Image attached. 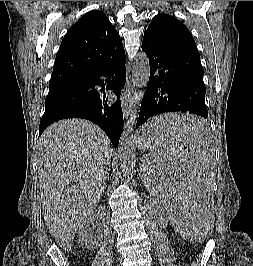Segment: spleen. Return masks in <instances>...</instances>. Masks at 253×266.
I'll list each match as a JSON object with an SVG mask.
<instances>
[{
	"label": "spleen",
	"mask_w": 253,
	"mask_h": 266,
	"mask_svg": "<svg viewBox=\"0 0 253 266\" xmlns=\"http://www.w3.org/2000/svg\"><path fill=\"white\" fill-rule=\"evenodd\" d=\"M200 111H164L149 117L139 160L144 187L162 204L184 242H205L215 235L211 202L214 142L207 141Z\"/></svg>",
	"instance_id": "spleen-1"
}]
</instances>
